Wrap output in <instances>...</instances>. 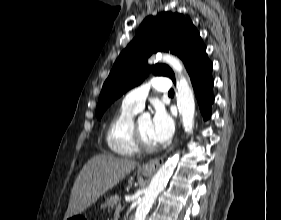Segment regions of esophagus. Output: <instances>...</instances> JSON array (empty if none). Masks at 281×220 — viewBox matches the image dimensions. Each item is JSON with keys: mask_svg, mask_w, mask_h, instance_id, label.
<instances>
[{"mask_svg": "<svg viewBox=\"0 0 281 220\" xmlns=\"http://www.w3.org/2000/svg\"><path fill=\"white\" fill-rule=\"evenodd\" d=\"M171 149H172V148H170V149L168 150V152L171 151ZM168 152H167V153H168ZM167 153H166V154H167ZM166 154H164V155L161 156V157H158V158H154V159L149 160L147 163H145V164L142 166V168H141L142 171L147 172V173H154V172L160 167V165L163 163Z\"/></svg>", "mask_w": 281, "mask_h": 220, "instance_id": "1", "label": "esophagus"}]
</instances>
